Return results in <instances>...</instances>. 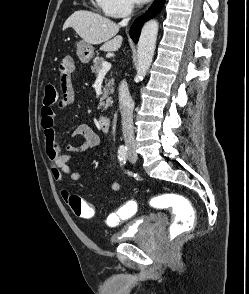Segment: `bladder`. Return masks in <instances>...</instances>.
Segmentation results:
<instances>
[{
	"label": "bladder",
	"mask_w": 249,
	"mask_h": 294,
	"mask_svg": "<svg viewBox=\"0 0 249 294\" xmlns=\"http://www.w3.org/2000/svg\"><path fill=\"white\" fill-rule=\"evenodd\" d=\"M160 221H163V219L148 215L140 216L130 223L128 227L115 234L112 241L121 243L129 239L145 238L152 232L154 225Z\"/></svg>",
	"instance_id": "31cf9c89"
}]
</instances>
